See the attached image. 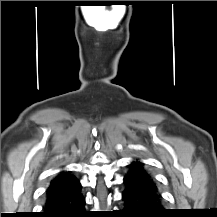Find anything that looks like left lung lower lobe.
Here are the masks:
<instances>
[{
	"instance_id": "obj_1",
	"label": "left lung lower lobe",
	"mask_w": 217,
	"mask_h": 217,
	"mask_svg": "<svg viewBox=\"0 0 217 217\" xmlns=\"http://www.w3.org/2000/svg\"><path fill=\"white\" fill-rule=\"evenodd\" d=\"M125 190L122 198L125 203L124 214L127 217H166L162 197L156 183L145 179L130 165L129 173L124 177Z\"/></svg>"
}]
</instances>
